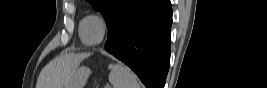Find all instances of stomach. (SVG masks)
<instances>
[{
    "instance_id": "obj_1",
    "label": "stomach",
    "mask_w": 267,
    "mask_h": 88,
    "mask_svg": "<svg viewBox=\"0 0 267 88\" xmlns=\"http://www.w3.org/2000/svg\"><path fill=\"white\" fill-rule=\"evenodd\" d=\"M90 75V69L86 67L78 68L65 88H83L88 77Z\"/></svg>"
}]
</instances>
